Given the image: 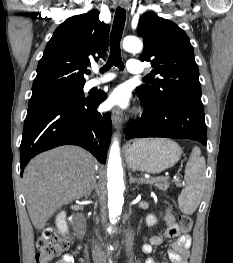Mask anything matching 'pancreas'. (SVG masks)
Returning a JSON list of instances; mask_svg holds the SVG:
<instances>
[{
    "label": "pancreas",
    "mask_w": 233,
    "mask_h": 263,
    "mask_svg": "<svg viewBox=\"0 0 233 263\" xmlns=\"http://www.w3.org/2000/svg\"><path fill=\"white\" fill-rule=\"evenodd\" d=\"M145 182L148 184L155 185L157 188H159L162 191L167 190L169 187V183L164 182V180H152V179H150V180H145Z\"/></svg>",
    "instance_id": "obj_1"
}]
</instances>
